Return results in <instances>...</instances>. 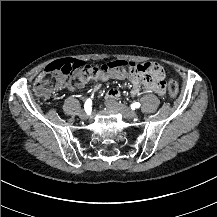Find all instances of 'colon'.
<instances>
[{
    "label": "colon",
    "instance_id": "1",
    "mask_svg": "<svg viewBox=\"0 0 217 217\" xmlns=\"http://www.w3.org/2000/svg\"><path fill=\"white\" fill-rule=\"evenodd\" d=\"M95 72L103 71H118L128 69L129 73L134 74V78L138 82L148 84H157L161 78L165 76V70L162 65L156 62H146L136 64L134 62L119 60L115 56H111L107 61L93 60L91 63L75 60L73 57L62 58L59 62H53L45 68V75L38 79L34 84V91L38 96L47 97L53 92L56 86L55 79L62 75H68L73 71H80L84 74H90L89 69ZM167 93L171 98L178 96L179 87L173 79L169 83Z\"/></svg>",
    "mask_w": 217,
    "mask_h": 217
}]
</instances>
